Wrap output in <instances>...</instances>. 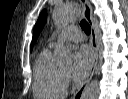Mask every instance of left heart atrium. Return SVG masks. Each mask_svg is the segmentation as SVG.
Wrapping results in <instances>:
<instances>
[{"label": "left heart atrium", "mask_w": 128, "mask_h": 99, "mask_svg": "<svg viewBox=\"0 0 128 99\" xmlns=\"http://www.w3.org/2000/svg\"><path fill=\"white\" fill-rule=\"evenodd\" d=\"M92 63V55L88 48L83 47L77 50L74 54L73 66L71 69V76L75 81L83 80L89 70Z\"/></svg>", "instance_id": "1"}]
</instances>
